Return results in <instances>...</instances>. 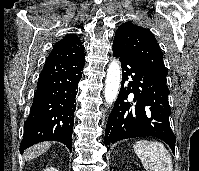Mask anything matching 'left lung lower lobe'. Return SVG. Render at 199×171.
<instances>
[{"label":"left lung lower lobe","mask_w":199,"mask_h":171,"mask_svg":"<svg viewBox=\"0 0 199 171\" xmlns=\"http://www.w3.org/2000/svg\"><path fill=\"white\" fill-rule=\"evenodd\" d=\"M113 56L121 62L122 85L108 117L105 146L127 138L153 136L165 141L174 152L176 139L169 123L166 78L116 45Z\"/></svg>","instance_id":"obj_1"}]
</instances>
